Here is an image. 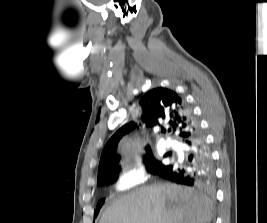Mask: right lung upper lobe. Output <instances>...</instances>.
Masks as SVG:
<instances>
[{"label": "right lung upper lobe", "mask_w": 267, "mask_h": 223, "mask_svg": "<svg viewBox=\"0 0 267 223\" xmlns=\"http://www.w3.org/2000/svg\"><path fill=\"white\" fill-rule=\"evenodd\" d=\"M142 108L141 120L147 127H168V131L176 134L185 142L196 131L197 125L191 111L187 108L182 98L174 91L158 87L148 91L140 100ZM136 124L130 122L121 127L107 142L99 163L98 179L111 168L119 167L120 157L114 155L115 147L122 137L130 133ZM151 154L149 147H146Z\"/></svg>", "instance_id": "right-lung-upper-lobe-1"}]
</instances>
